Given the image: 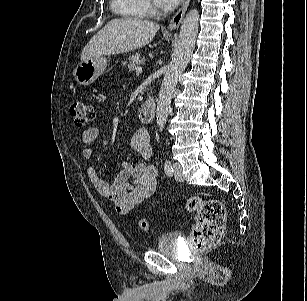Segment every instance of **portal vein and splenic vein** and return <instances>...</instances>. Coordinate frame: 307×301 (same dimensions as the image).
<instances>
[{
	"label": "portal vein and splenic vein",
	"instance_id": "obj_1",
	"mask_svg": "<svg viewBox=\"0 0 307 301\" xmlns=\"http://www.w3.org/2000/svg\"><path fill=\"white\" fill-rule=\"evenodd\" d=\"M136 72H137V74L142 73V67H140V66H139V67H137V68H136Z\"/></svg>",
	"mask_w": 307,
	"mask_h": 301
}]
</instances>
